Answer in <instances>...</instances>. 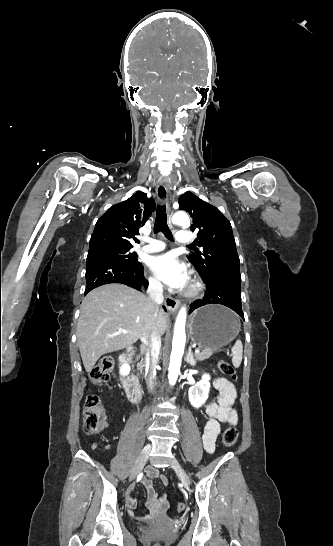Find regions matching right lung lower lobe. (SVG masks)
<instances>
[{"mask_svg":"<svg viewBox=\"0 0 333 546\" xmlns=\"http://www.w3.org/2000/svg\"><path fill=\"white\" fill-rule=\"evenodd\" d=\"M85 277L87 283L85 294L98 286L109 283H122L139 291L142 286H148V281L143 277L141 263L131 265L103 255H92L87 258Z\"/></svg>","mask_w":333,"mask_h":546,"instance_id":"right-lung-lower-lobe-1","label":"right lung lower lobe"}]
</instances>
